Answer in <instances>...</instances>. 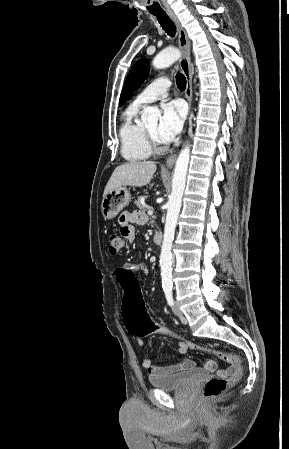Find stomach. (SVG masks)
Wrapping results in <instances>:
<instances>
[{"label":"stomach","instance_id":"stomach-1","mask_svg":"<svg viewBox=\"0 0 289 449\" xmlns=\"http://www.w3.org/2000/svg\"><path fill=\"white\" fill-rule=\"evenodd\" d=\"M131 201V195L126 186L111 190L102 200L101 212L104 219H113Z\"/></svg>","mask_w":289,"mask_h":449}]
</instances>
